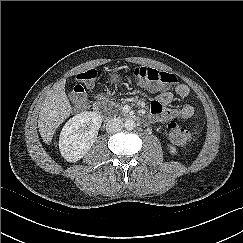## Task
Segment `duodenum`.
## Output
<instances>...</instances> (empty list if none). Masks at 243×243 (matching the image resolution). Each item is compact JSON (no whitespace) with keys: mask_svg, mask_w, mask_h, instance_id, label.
<instances>
[{"mask_svg":"<svg viewBox=\"0 0 243 243\" xmlns=\"http://www.w3.org/2000/svg\"><path fill=\"white\" fill-rule=\"evenodd\" d=\"M95 111H96L97 113H99V109H98V108H96ZM130 118H132V119H134V120H137V116H135V115L130 116Z\"/></svg>","mask_w":243,"mask_h":243,"instance_id":"duodenum-1","label":"duodenum"}]
</instances>
